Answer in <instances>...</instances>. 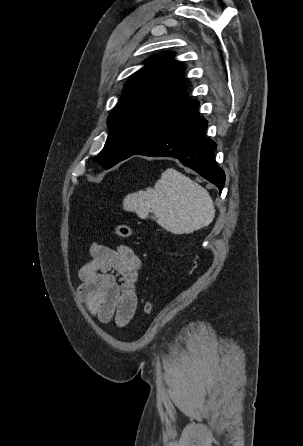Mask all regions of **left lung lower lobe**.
Masks as SVG:
<instances>
[{
  "instance_id": "0a47b994",
  "label": "left lung lower lobe",
  "mask_w": 303,
  "mask_h": 446,
  "mask_svg": "<svg viewBox=\"0 0 303 446\" xmlns=\"http://www.w3.org/2000/svg\"><path fill=\"white\" fill-rule=\"evenodd\" d=\"M198 107L199 102L172 132L132 155L175 157L183 165L218 186L221 192L224 187L225 174L214 159L216 143L204 136L207 120L200 117Z\"/></svg>"
}]
</instances>
